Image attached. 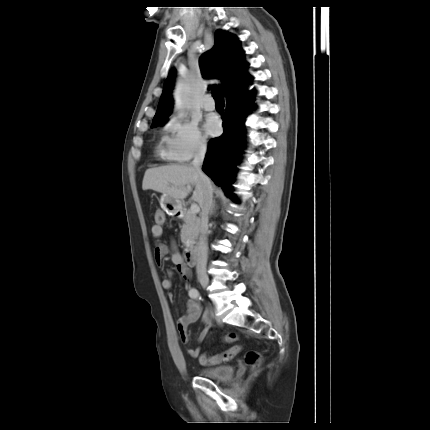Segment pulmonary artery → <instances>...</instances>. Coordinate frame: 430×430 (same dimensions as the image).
I'll list each match as a JSON object with an SVG mask.
<instances>
[{
    "label": "pulmonary artery",
    "instance_id": "obj_1",
    "mask_svg": "<svg viewBox=\"0 0 430 430\" xmlns=\"http://www.w3.org/2000/svg\"><path fill=\"white\" fill-rule=\"evenodd\" d=\"M203 108L205 110H207V111H213V110H215L216 104H215V102L213 101V99H212V97L210 95H207L204 98Z\"/></svg>",
    "mask_w": 430,
    "mask_h": 430
}]
</instances>
